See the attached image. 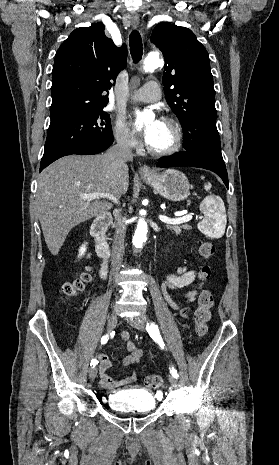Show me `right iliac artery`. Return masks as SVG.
<instances>
[{
    "instance_id": "82829eb1",
    "label": "right iliac artery",
    "mask_w": 279,
    "mask_h": 465,
    "mask_svg": "<svg viewBox=\"0 0 279 465\" xmlns=\"http://www.w3.org/2000/svg\"><path fill=\"white\" fill-rule=\"evenodd\" d=\"M114 334V332L111 333V335ZM109 339V335H104L102 338H101V344H106L107 341ZM98 364V361L96 359H92L91 361V366H96Z\"/></svg>"
}]
</instances>
